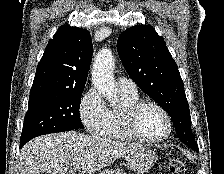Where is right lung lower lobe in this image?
<instances>
[{
  "label": "right lung lower lobe",
  "instance_id": "98d812e1",
  "mask_svg": "<svg viewBox=\"0 0 224 174\" xmlns=\"http://www.w3.org/2000/svg\"><path fill=\"white\" fill-rule=\"evenodd\" d=\"M25 143H26L25 141L21 142V147H22Z\"/></svg>",
  "mask_w": 224,
  "mask_h": 174
}]
</instances>
